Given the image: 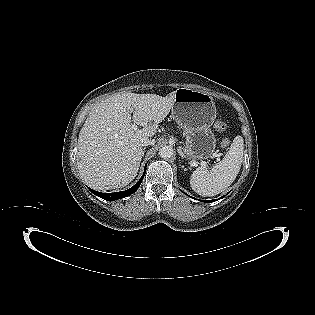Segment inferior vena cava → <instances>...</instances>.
<instances>
[{
  "mask_svg": "<svg viewBox=\"0 0 315 315\" xmlns=\"http://www.w3.org/2000/svg\"><path fill=\"white\" fill-rule=\"evenodd\" d=\"M154 144H155V140L154 139L145 138L142 141V145L143 146L154 145Z\"/></svg>",
  "mask_w": 315,
  "mask_h": 315,
  "instance_id": "obj_1",
  "label": "inferior vena cava"
}]
</instances>
